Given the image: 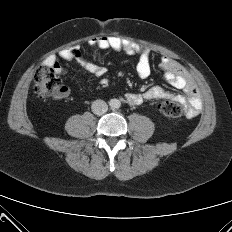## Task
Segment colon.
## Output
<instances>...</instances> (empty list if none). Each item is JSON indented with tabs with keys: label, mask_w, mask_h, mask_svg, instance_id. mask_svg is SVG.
Instances as JSON below:
<instances>
[{
	"label": "colon",
	"mask_w": 232,
	"mask_h": 232,
	"mask_svg": "<svg viewBox=\"0 0 232 232\" xmlns=\"http://www.w3.org/2000/svg\"><path fill=\"white\" fill-rule=\"evenodd\" d=\"M62 85L51 64H44L36 69L34 75V94L39 98L56 96L61 92ZM160 113L169 118H178L183 114L182 104L174 100H163L158 104Z\"/></svg>",
	"instance_id": "1"
}]
</instances>
